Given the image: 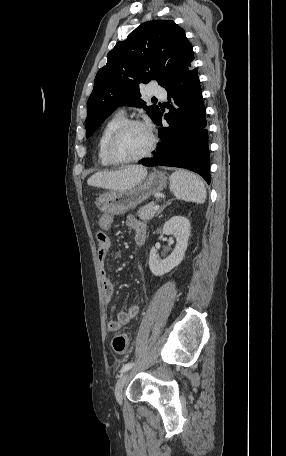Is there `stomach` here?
<instances>
[{"instance_id": "1", "label": "stomach", "mask_w": 286, "mask_h": 456, "mask_svg": "<svg viewBox=\"0 0 286 456\" xmlns=\"http://www.w3.org/2000/svg\"><path fill=\"white\" fill-rule=\"evenodd\" d=\"M167 185V176L161 171L151 172L140 184L124 191H110L100 195L95 206L111 215H122L162 191Z\"/></svg>"}]
</instances>
